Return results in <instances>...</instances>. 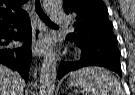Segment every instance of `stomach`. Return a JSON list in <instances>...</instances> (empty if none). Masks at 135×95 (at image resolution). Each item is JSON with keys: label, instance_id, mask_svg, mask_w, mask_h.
I'll list each match as a JSON object with an SVG mask.
<instances>
[{"label": "stomach", "instance_id": "stomach-1", "mask_svg": "<svg viewBox=\"0 0 135 95\" xmlns=\"http://www.w3.org/2000/svg\"><path fill=\"white\" fill-rule=\"evenodd\" d=\"M68 86L69 87H75V86H78V83L75 80H70L68 82Z\"/></svg>", "mask_w": 135, "mask_h": 95}]
</instances>
